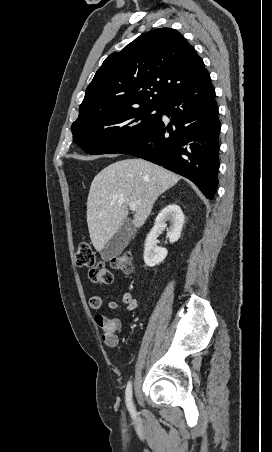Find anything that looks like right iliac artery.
I'll use <instances>...</instances> for the list:
<instances>
[{
	"label": "right iliac artery",
	"mask_w": 272,
	"mask_h": 452,
	"mask_svg": "<svg viewBox=\"0 0 272 452\" xmlns=\"http://www.w3.org/2000/svg\"><path fill=\"white\" fill-rule=\"evenodd\" d=\"M126 404H127V408L129 410L130 414L132 415V417H135L136 413H135L134 405L132 402V384H131V382H128L127 387H126Z\"/></svg>",
	"instance_id": "1"
}]
</instances>
